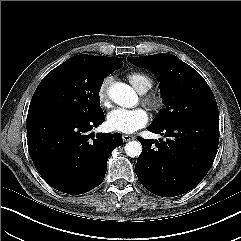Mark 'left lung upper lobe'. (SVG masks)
Here are the masks:
<instances>
[{
    "mask_svg": "<svg viewBox=\"0 0 241 241\" xmlns=\"http://www.w3.org/2000/svg\"><path fill=\"white\" fill-rule=\"evenodd\" d=\"M127 59L134 65L152 70L160 81L166 107L157 115L152 126L164 127L190 120L219 122L212 90L194 68L169 53Z\"/></svg>",
    "mask_w": 241,
    "mask_h": 241,
    "instance_id": "1",
    "label": "left lung upper lobe"
}]
</instances>
